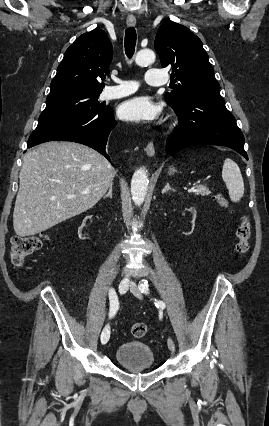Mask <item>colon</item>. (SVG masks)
I'll return each mask as SVG.
<instances>
[{"label": "colon", "mask_w": 269, "mask_h": 426, "mask_svg": "<svg viewBox=\"0 0 269 426\" xmlns=\"http://www.w3.org/2000/svg\"><path fill=\"white\" fill-rule=\"evenodd\" d=\"M215 199L220 205L224 207L228 206V202L222 194H217ZM250 236V220L247 216H242L239 226L236 230V250L239 254H245L248 251ZM43 241L44 238L42 235L14 236L12 238V247L10 250L11 263L14 266H21L27 257L31 256L42 248ZM131 331L135 337L141 338L146 335L147 326L144 323H136L132 326Z\"/></svg>", "instance_id": "5ec220e1"}]
</instances>
